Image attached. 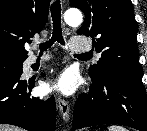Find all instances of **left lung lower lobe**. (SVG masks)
<instances>
[{
  "mask_svg": "<svg viewBox=\"0 0 147 131\" xmlns=\"http://www.w3.org/2000/svg\"><path fill=\"white\" fill-rule=\"evenodd\" d=\"M92 81L89 92L78 98L73 131L102 124H121L147 131V100L143 83L119 76Z\"/></svg>",
  "mask_w": 147,
  "mask_h": 131,
  "instance_id": "obj_1",
  "label": "left lung lower lobe"
}]
</instances>
